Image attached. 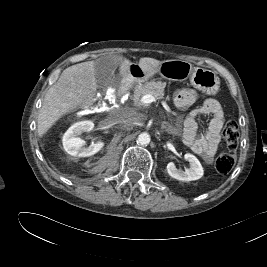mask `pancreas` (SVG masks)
Returning a JSON list of instances; mask_svg holds the SVG:
<instances>
[{"instance_id":"cf45deb5","label":"pancreas","mask_w":267,"mask_h":267,"mask_svg":"<svg viewBox=\"0 0 267 267\" xmlns=\"http://www.w3.org/2000/svg\"><path fill=\"white\" fill-rule=\"evenodd\" d=\"M165 82H149L145 86H139L134 91L133 100L140 103V99L146 95L151 94L155 99H162L164 96ZM169 99V97H167Z\"/></svg>"}]
</instances>
